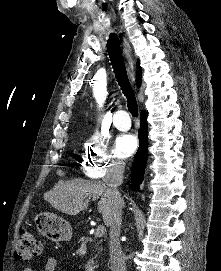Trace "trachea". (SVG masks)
Wrapping results in <instances>:
<instances>
[{
  "label": "trachea",
  "instance_id": "trachea-1",
  "mask_svg": "<svg viewBox=\"0 0 221 271\" xmlns=\"http://www.w3.org/2000/svg\"><path fill=\"white\" fill-rule=\"evenodd\" d=\"M107 51L110 57L111 64L114 69L115 77L118 81L124 96L127 98L128 111L132 116H138V104L136 101L135 93L130 85L127 71L124 64V58L122 56V50L120 48V41L116 34H110Z\"/></svg>",
  "mask_w": 221,
  "mask_h": 271
}]
</instances>
